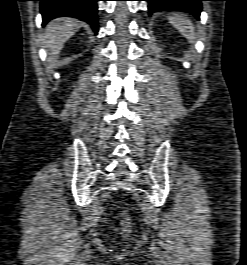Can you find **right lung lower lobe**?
Here are the masks:
<instances>
[{
	"mask_svg": "<svg viewBox=\"0 0 247 265\" xmlns=\"http://www.w3.org/2000/svg\"><path fill=\"white\" fill-rule=\"evenodd\" d=\"M38 1H40V12L43 17V25L55 17L69 16L89 23L95 34L98 33L97 1L99 0Z\"/></svg>",
	"mask_w": 247,
	"mask_h": 265,
	"instance_id": "obj_1",
	"label": "right lung lower lobe"
}]
</instances>
